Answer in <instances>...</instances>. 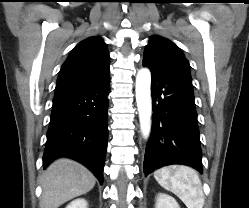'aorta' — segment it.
I'll return each mask as SVG.
<instances>
[{"label":"aorta","mask_w":249,"mask_h":208,"mask_svg":"<svg viewBox=\"0 0 249 208\" xmlns=\"http://www.w3.org/2000/svg\"><path fill=\"white\" fill-rule=\"evenodd\" d=\"M151 73L147 68L141 69L136 77V102L139 111L142 136L149 137L151 131Z\"/></svg>","instance_id":"1"}]
</instances>
